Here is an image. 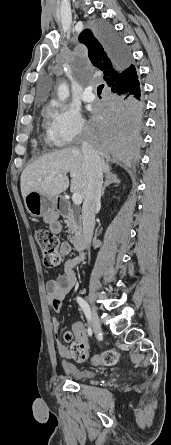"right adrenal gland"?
<instances>
[{
    "label": "right adrenal gland",
    "instance_id": "obj_1",
    "mask_svg": "<svg viewBox=\"0 0 171 445\" xmlns=\"http://www.w3.org/2000/svg\"><path fill=\"white\" fill-rule=\"evenodd\" d=\"M120 182L121 181L118 179L117 175L112 173L107 174L104 186L102 188L101 196H104V192L107 186H109L110 184H115L117 186L118 184H120Z\"/></svg>",
    "mask_w": 171,
    "mask_h": 445
}]
</instances>
